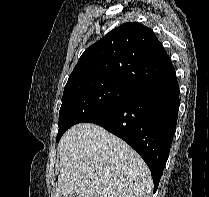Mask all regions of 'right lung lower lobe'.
<instances>
[{
  "label": "right lung lower lobe",
  "mask_w": 209,
  "mask_h": 197,
  "mask_svg": "<svg viewBox=\"0 0 209 197\" xmlns=\"http://www.w3.org/2000/svg\"><path fill=\"white\" fill-rule=\"evenodd\" d=\"M179 103L173 69L84 122L105 128L136 150L151 170L155 192L168 159Z\"/></svg>",
  "instance_id": "1"
}]
</instances>
